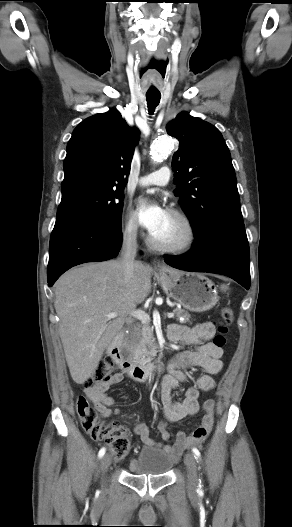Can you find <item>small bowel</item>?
Listing matches in <instances>:
<instances>
[{
    "label": "small bowel",
    "instance_id": "small-bowel-1",
    "mask_svg": "<svg viewBox=\"0 0 292 527\" xmlns=\"http://www.w3.org/2000/svg\"><path fill=\"white\" fill-rule=\"evenodd\" d=\"M214 333V325L210 322L200 323L193 327L173 324L168 331V337L171 341L195 345V348L179 354L169 363L168 373L164 376L161 384L164 417L167 421L177 422L185 417L195 415L201 410L200 425L189 436L179 432L173 445L155 442L150 437L149 428L145 423L139 422L134 426V433L140 437L144 445L161 448L172 459H177L184 449L203 442L211 430L215 403L210 399L200 406L198 397L200 390L210 391L215 387L213 376L223 368L221 360L223 350L210 342ZM190 366L203 368L205 374L198 376L193 384L186 389L181 402H173L170 392L172 389L178 388L180 383L186 381L183 370ZM123 378L124 374L117 372L108 381L85 389L86 397L96 406L102 417L119 413L118 409L113 408L114 399L107 394V390L111 385L121 382ZM158 429L163 439L169 442L171 437L164 420L158 423Z\"/></svg>",
    "mask_w": 292,
    "mask_h": 527
}]
</instances>
